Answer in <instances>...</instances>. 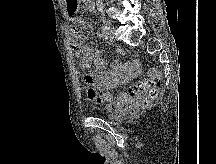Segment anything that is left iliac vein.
<instances>
[{"label": "left iliac vein", "mask_w": 216, "mask_h": 164, "mask_svg": "<svg viewBox=\"0 0 216 164\" xmlns=\"http://www.w3.org/2000/svg\"><path fill=\"white\" fill-rule=\"evenodd\" d=\"M114 32H115L114 27L109 26V27H108V35H109V37H110V39H111L112 42L115 41Z\"/></svg>", "instance_id": "4c4485c4"}]
</instances>
